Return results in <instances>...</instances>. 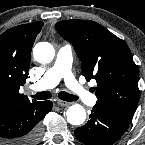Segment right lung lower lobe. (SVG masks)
Wrapping results in <instances>:
<instances>
[{
  "label": "right lung lower lobe",
  "mask_w": 145,
  "mask_h": 145,
  "mask_svg": "<svg viewBox=\"0 0 145 145\" xmlns=\"http://www.w3.org/2000/svg\"><path fill=\"white\" fill-rule=\"evenodd\" d=\"M51 108V101H34L0 109V139L8 145H35L41 136L40 121Z\"/></svg>",
  "instance_id": "98d812e1"
}]
</instances>
